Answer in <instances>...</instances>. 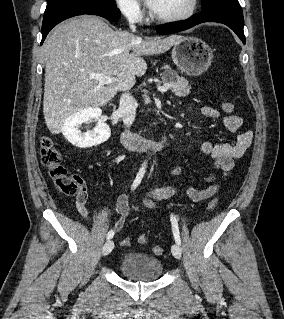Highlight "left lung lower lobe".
<instances>
[{
	"mask_svg": "<svg viewBox=\"0 0 284 319\" xmlns=\"http://www.w3.org/2000/svg\"><path fill=\"white\" fill-rule=\"evenodd\" d=\"M203 22H218L230 27L245 44L244 20L240 6L224 5L211 10L202 11L191 18L173 24H165L156 27L159 34H172L189 29Z\"/></svg>",
	"mask_w": 284,
	"mask_h": 319,
	"instance_id": "left-lung-lower-lobe-1",
	"label": "left lung lower lobe"
}]
</instances>
